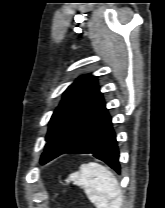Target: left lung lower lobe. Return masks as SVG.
<instances>
[{"mask_svg":"<svg viewBox=\"0 0 165 208\" xmlns=\"http://www.w3.org/2000/svg\"><path fill=\"white\" fill-rule=\"evenodd\" d=\"M66 153L93 154L120 173L116 135L105 104L82 126Z\"/></svg>","mask_w":165,"mask_h":208,"instance_id":"0a47b994","label":"left lung lower lobe"}]
</instances>
